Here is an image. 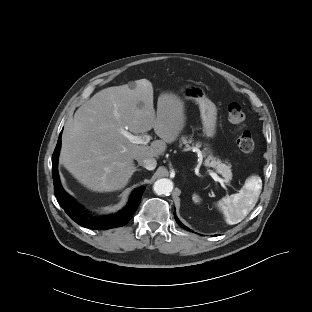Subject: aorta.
Segmentation results:
<instances>
[{
	"label": "aorta",
	"instance_id": "762f6f07",
	"mask_svg": "<svg viewBox=\"0 0 312 312\" xmlns=\"http://www.w3.org/2000/svg\"><path fill=\"white\" fill-rule=\"evenodd\" d=\"M153 190L157 195H167L173 190V182L169 179H158L154 185Z\"/></svg>",
	"mask_w": 312,
	"mask_h": 312
}]
</instances>
